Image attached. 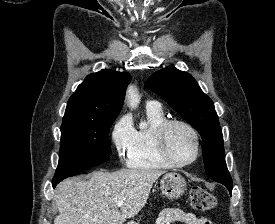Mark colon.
Here are the masks:
<instances>
[{
  "instance_id": "1",
  "label": "colon",
  "mask_w": 275,
  "mask_h": 224,
  "mask_svg": "<svg viewBox=\"0 0 275 224\" xmlns=\"http://www.w3.org/2000/svg\"><path fill=\"white\" fill-rule=\"evenodd\" d=\"M191 206L199 211H208L216 204L215 196L202 187L194 186L190 190Z\"/></svg>"
}]
</instances>
